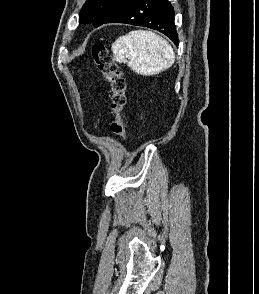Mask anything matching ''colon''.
<instances>
[{"label":"colon","mask_w":259,"mask_h":294,"mask_svg":"<svg viewBox=\"0 0 259 294\" xmlns=\"http://www.w3.org/2000/svg\"><path fill=\"white\" fill-rule=\"evenodd\" d=\"M92 56L95 66L111 87V109L114 115L111 131L121 140H126L128 137V128L124 112L126 105L125 79L117 67L110 51L103 43L97 42L93 45Z\"/></svg>","instance_id":"1"}]
</instances>
